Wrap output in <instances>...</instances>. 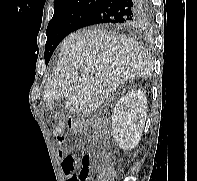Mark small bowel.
I'll use <instances>...</instances> for the list:
<instances>
[{"instance_id":"small-bowel-1","label":"small bowel","mask_w":197,"mask_h":181,"mask_svg":"<svg viewBox=\"0 0 197 181\" xmlns=\"http://www.w3.org/2000/svg\"><path fill=\"white\" fill-rule=\"evenodd\" d=\"M57 156L62 162V170L66 175L67 181H78L75 174L77 165L76 158L69 154L64 147L58 149Z\"/></svg>"}]
</instances>
